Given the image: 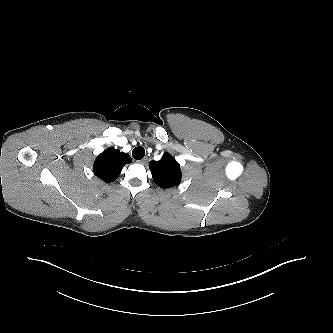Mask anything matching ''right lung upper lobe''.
<instances>
[{"label":"right lung upper lobe","instance_id":"1","mask_svg":"<svg viewBox=\"0 0 333 333\" xmlns=\"http://www.w3.org/2000/svg\"><path fill=\"white\" fill-rule=\"evenodd\" d=\"M131 157L115 148H108L95 159L93 171L105 182H112L119 176L122 168L131 163Z\"/></svg>","mask_w":333,"mask_h":333}]
</instances>
